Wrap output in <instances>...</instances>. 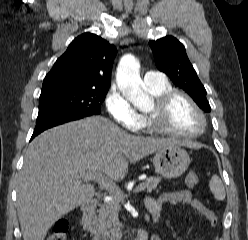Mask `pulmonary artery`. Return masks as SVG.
I'll list each match as a JSON object with an SVG mask.
<instances>
[{"label":"pulmonary artery","mask_w":248,"mask_h":240,"mask_svg":"<svg viewBox=\"0 0 248 240\" xmlns=\"http://www.w3.org/2000/svg\"><path fill=\"white\" fill-rule=\"evenodd\" d=\"M143 81L146 85L163 83L166 81L161 72L148 70L143 75Z\"/></svg>","instance_id":"1"}]
</instances>
